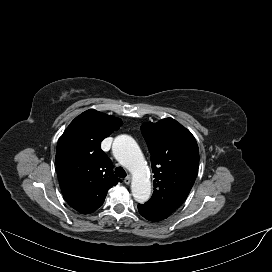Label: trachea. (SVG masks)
Returning <instances> with one entry per match:
<instances>
[{
  "label": "trachea",
  "instance_id": "1",
  "mask_svg": "<svg viewBox=\"0 0 272 272\" xmlns=\"http://www.w3.org/2000/svg\"><path fill=\"white\" fill-rule=\"evenodd\" d=\"M115 174L120 178H124L127 176L126 171L122 167H117L115 169Z\"/></svg>",
  "mask_w": 272,
  "mask_h": 272
}]
</instances>
